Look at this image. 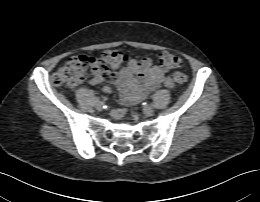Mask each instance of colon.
Wrapping results in <instances>:
<instances>
[{
    "instance_id": "1",
    "label": "colon",
    "mask_w": 260,
    "mask_h": 202,
    "mask_svg": "<svg viewBox=\"0 0 260 202\" xmlns=\"http://www.w3.org/2000/svg\"><path fill=\"white\" fill-rule=\"evenodd\" d=\"M125 61L126 53L121 49L107 50L102 58L78 55L69 59L52 75V83L56 86L74 88L83 81L89 80L96 72L121 67ZM157 63L163 69L175 70L181 66L182 61L177 55L162 51L157 55ZM173 79L179 84L188 82V77L178 71L173 72Z\"/></svg>"
}]
</instances>
